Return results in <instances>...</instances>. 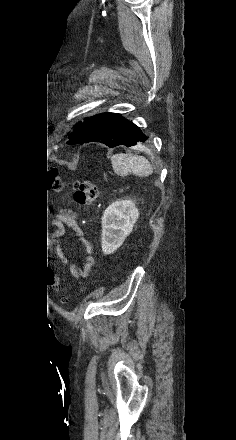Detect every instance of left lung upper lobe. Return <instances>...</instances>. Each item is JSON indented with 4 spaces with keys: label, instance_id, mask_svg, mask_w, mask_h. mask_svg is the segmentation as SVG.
Returning <instances> with one entry per match:
<instances>
[{
    "label": "left lung upper lobe",
    "instance_id": "5c2ea615",
    "mask_svg": "<svg viewBox=\"0 0 236 440\" xmlns=\"http://www.w3.org/2000/svg\"><path fill=\"white\" fill-rule=\"evenodd\" d=\"M82 122H79L78 124H76L75 126H74V130H73V132L69 135V139H71L77 132H78V130L80 129V127L82 126Z\"/></svg>",
    "mask_w": 236,
    "mask_h": 440
}]
</instances>
